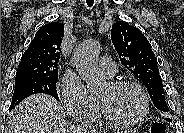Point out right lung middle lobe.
<instances>
[{"label":"right lung middle lobe","instance_id":"dd1d6c3e","mask_svg":"<svg viewBox=\"0 0 184 133\" xmlns=\"http://www.w3.org/2000/svg\"><path fill=\"white\" fill-rule=\"evenodd\" d=\"M57 77H25L15 79V89L9 111L28 96L37 93L49 94L59 100L56 82Z\"/></svg>","mask_w":184,"mask_h":133}]
</instances>
